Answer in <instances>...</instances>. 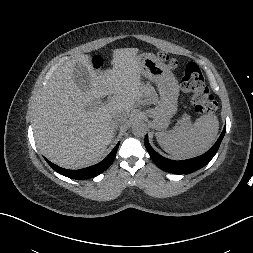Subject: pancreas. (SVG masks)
<instances>
[{"label":"pancreas","instance_id":"pancreas-1","mask_svg":"<svg viewBox=\"0 0 253 253\" xmlns=\"http://www.w3.org/2000/svg\"><path fill=\"white\" fill-rule=\"evenodd\" d=\"M145 91L147 92L148 95L152 96L155 98V92L152 87L150 86H144Z\"/></svg>","mask_w":253,"mask_h":253}]
</instances>
